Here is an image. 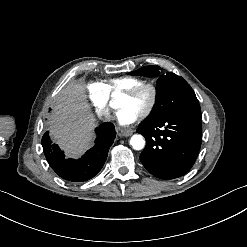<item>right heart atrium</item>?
Returning a JSON list of instances; mask_svg holds the SVG:
<instances>
[{"mask_svg": "<svg viewBox=\"0 0 247 247\" xmlns=\"http://www.w3.org/2000/svg\"><path fill=\"white\" fill-rule=\"evenodd\" d=\"M88 91L92 94L93 104L95 107L99 108V112L105 115L108 110V102L110 100V95L107 92L106 87L97 82H92L88 86Z\"/></svg>", "mask_w": 247, "mask_h": 247, "instance_id": "right-heart-atrium-1", "label": "right heart atrium"}]
</instances>
